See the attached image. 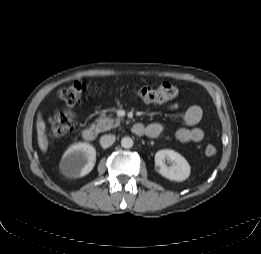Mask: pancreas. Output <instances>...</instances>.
Returning <instances> with one entry per match:
<instances>
[{"instance_id": "cf45deb5", "label": "pancreas", "mask_w": 261, "mask_h": 254, "mask_svg": "<svg viewBox=\"0 0 261 254\" xmlns=\"http://www.w3.org/2000/svg\"><path fill=\"white\" fill-rule=\"evenodd\" d=\"M119 124L120 119H112L102 114L99 118L96 119V124H94L93 126L95 127L97 132H104L119 126Z\"/></svg>"}]
</instances>
